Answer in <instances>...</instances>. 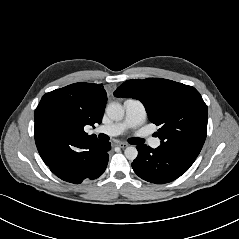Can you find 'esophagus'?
I'll use <instances>...</instances> for the list:
<instances>
[{
  "label": "esophagus",
  "instance_id": "1",
  "mask_svg": "<svg viewBox=\"0 0 239 239\" xmlns=\"http://www.w3.org/2000/svg\"><path fill=\"white\" fill-rule=\"evenodd\" d=\"M117 146H119L120 148H126L128 146V144L124 143V142H118Z\"/></svg>",
  "mask_w": 239,
  "mask_h": 239
}]
</instances>
